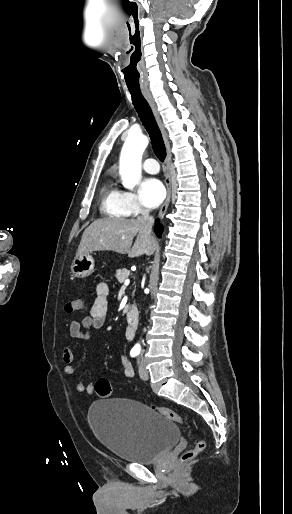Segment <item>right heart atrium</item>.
I'll list each match as a JSON object with an SVG mask.
<instances>
[{"instance_id":"obj_1","label":"right heart atrium","mask_w":292,"mask_h":514,"mask_svg":"<svg viewBox=\"0 0 292 514\" xmlns=\"http://www.w3.org/2000/svg\"><path fill=\"white\" fill-rule=\"evenodd\" d=\"M122 202L126 208V210L130 213H141L144 211L145 207L140 200L139 196L130 190H120Z\"/></svg>"}]
</instances>
